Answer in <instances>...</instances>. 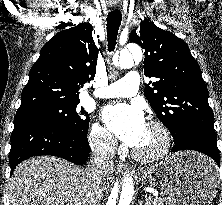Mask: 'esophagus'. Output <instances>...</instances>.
Instances as JSON below:
<instances>
[{
	"label": "esophagus",
	"mask_w": 222,
	"mask_h": 205,
	"mask_svg": "<svg viewBox=\"0 0 222 205\" xmlns=\"http://www.w3.org/2000/svg\"><path fill=\"white\" fill-rule=\"evenodd\" d=\"M125 168H126L125 164L120 163V164L117 165V170H118V171H122V170H124Z\"/></svg>",
	"instance_id": "34e87169"
}]
</instances>
